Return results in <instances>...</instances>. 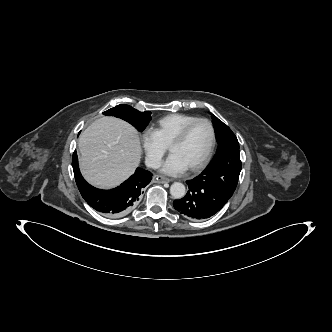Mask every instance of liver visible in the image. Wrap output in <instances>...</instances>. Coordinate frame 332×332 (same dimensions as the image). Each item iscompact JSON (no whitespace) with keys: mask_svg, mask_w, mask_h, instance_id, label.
<instances>
[{"mask_svg":"<svg viewBox=\"0 0 332 332\" xmlns=\"http://www.w3.org/2000/svg\"><path fill=\"white\" fill-rule=\"evenodd\" d=\"M78 147L83 177L104 189L115 187L132 175L141 157L137 131L129 123L109 116L88 126Z\"/></svg>","mask_w":332,"mask_h":332,"instance_id":"obj_1","label":"liver"}]
</instances>
